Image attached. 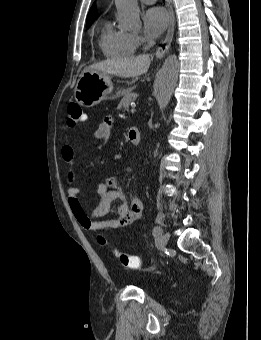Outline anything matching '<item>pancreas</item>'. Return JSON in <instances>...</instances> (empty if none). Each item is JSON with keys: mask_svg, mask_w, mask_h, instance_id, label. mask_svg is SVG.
<instances>
[{"mask_svg": "<svg viewBox=\"0 0 261 340\" xmlns=\"http://www.w3.org/2000/svg\"><path fill=\"white\" fill-rule=\"evenodd\" d=\"M123 98L121 99L118 109L119 110H127L132 102H134L137 98L136 93H132L131 89H125L120 93Z\"/></svg>", "mask_w": 261, "mask_h": 340, "instance_id": "cf45deb5", "label": "pancreas"}]
</instances>
